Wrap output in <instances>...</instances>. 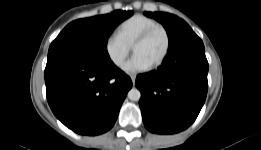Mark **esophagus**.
<instances>
[{"label": "esophagus", "mask_w": 261, "mask_h": 150, "mask_svg": "<svg viewBox=\"0 0 261 150\" xmlns=\"http://www.w3.org/2000/svg\"><path fill=\"white\" fill-rule=\"evenodd\" d=\"M130 78H131L132 83H133V85H134V84H135V80H136V75H135V74H131V75H130Z\"/></svg>", "instance_id": "obj_1"}]
</instances>
